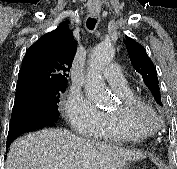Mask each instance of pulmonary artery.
<instances>
[{
    "label": "pulmonary artery",
    "mask_w": 177,
    "mask_h": 169,
    "mask_svg": "<svg viewBox=\"0 0 177 169\" xmlns=\"http://www.w3.org/2000/svg\"><path fill=\"white\" fill-rule=\"evenodd\" d=\"M104 77L115 91H124L129 89L128 81L124 77L120 66L116 63H112L104 71Z\"/></svg>",
    "instance_id": "pulmonary-artery-1"
}]
</instances>
